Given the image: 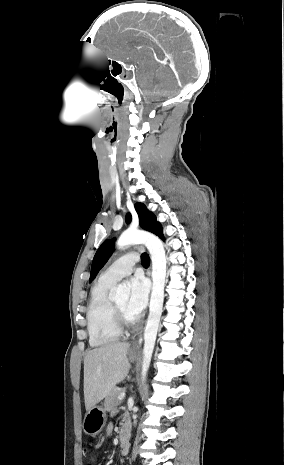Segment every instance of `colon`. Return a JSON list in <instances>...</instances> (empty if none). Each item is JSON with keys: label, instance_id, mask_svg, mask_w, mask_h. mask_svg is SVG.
<instances>
[{"label": "colon", "instance_id": "5ec220e1", "mask_svg": "<svg viewBox=\"0 0 284 465\" xmlns=\"http://www.w3.org/2000/svg\"><path fill=\"white\" fill-rule=\"evenodd\" d=\"M83 454L86 455V449L85 448L83 449Z\"/></svg>", "mask_w": 284, "mask_h": 465}]
</instances>
